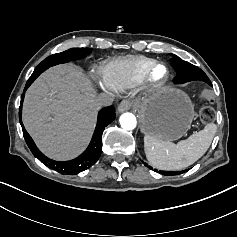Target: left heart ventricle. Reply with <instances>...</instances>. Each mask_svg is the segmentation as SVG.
<instances>
[{
	"instance_id": "b2bd125f",
	"label": "left heart ventricle",
	"mask_w": 237,
	"mask_h": 237,
	"mask_svg": "<svg viewBox=\"0 0 237 237\" xmlns=\"http://www.w3.org/2000/svg\"><path fill=\"white\" fill-rule=\"evenodd\" d=\"M164 74H165V69L162 66L157 67L153 72V76L156 79L162 78Z\"/></svg>"
}]
</instances>
